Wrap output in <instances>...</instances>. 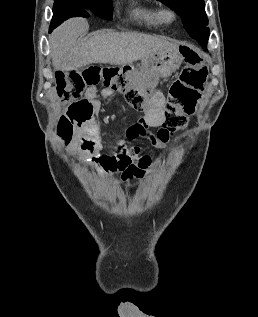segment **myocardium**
Instances as JSON below:
<instances>
[{
	"label": "myocardium",
	"mask_w": 258,
	"mask_h": 317,
	"mask_svg": "<svg viewBox=\"0 0 258 317\" xmlns=\"http://www.w3.org/2000/svg\"><path fill=\"white\" fill-rule=\"evenodd\" d=\"M159 15H160V19L164 22H170L174 19V12L169 7L162 9Z\"/></svg>",
	"instance_id": "obj_1"
}]
</instances>
